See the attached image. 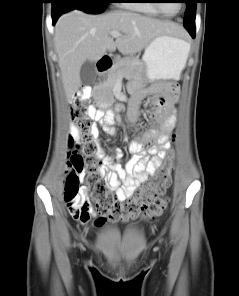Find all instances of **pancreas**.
I'll return each mask as SVG.
<instances>
[{
	"label": "pancreas",
	"instance_id": "1",
	"mask_svg": "<svg viewBox=\"0 0 239 296\" xmlns=\"http://www.w3.org/2000/svg\"><path fill=\"white\" fill-rule=\"evenodd\" d=\"M143 63L136 58L125 57L117 59L114 65L108 70L103 82L97 84L93 94L97 98L111 102L113 99V88L122 77H141L143 75Z\"/></svg>",
	"mask_w": 239,
	"mask_h": 296
}]
</instances>
